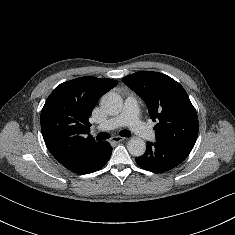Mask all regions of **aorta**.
I'll return each instance as SVG.
<instances>
[{
	"label": "aorta",
	"mask_w": 235,
	"mask_h": 235,
	"mask_svg": "<svg viewBox=\"0 0 235 235\" xmlns=\"http://www.w3.org/2000/svg\"><path fill=\"white\" fill-rule=\"evenodd\" d=\"M101 106L105 112L110 115H117L122 111L123 99L114 92H108L101 99ZM127 149L135 157L142 156L146 150V144L143 139L133 137L128 141Z\"/></svg>",
	"instance_id": "762f6f07"
}]
</instances>
